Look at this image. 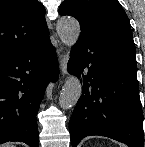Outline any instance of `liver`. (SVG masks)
<instances>
[{"mask_svg":"<svg viewBox=\"0 0 145 147\" xmlns=\"http://www.w3.org/2000/svg\"><path fill=\"white\" fill-rule=\"evenodd\" d=\"M1 147H14V145L13 144H4V145H2Z\"/></svg>","mask_w":145,"mask_h":147,"instance_id":"obj_1","label":"liver"}]
</instances>
